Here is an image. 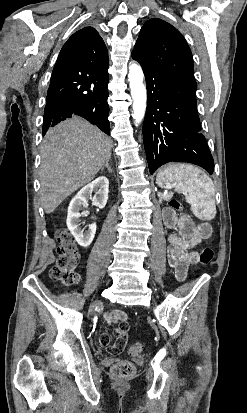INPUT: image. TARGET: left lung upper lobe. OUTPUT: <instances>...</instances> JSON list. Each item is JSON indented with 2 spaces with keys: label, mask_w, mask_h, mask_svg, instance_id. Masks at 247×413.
<instances>
[{
  "label": "left lung upper lobe",
  "mask_w": 247,
  "mask_h": 413,
  "mask_svg": "<svg viewBox=\"0 0 247 413\" xmlns=\"http://www.w3.org/2000/svg\"><path fill=\"white\" fill-rule=\"evenodd\" d=\"M132 54L197 88L191 50L182 34L164 20L153 18L145 22Z\"/></svg>",
  "instance_id": "5c2ea615"
}]
</instances>
